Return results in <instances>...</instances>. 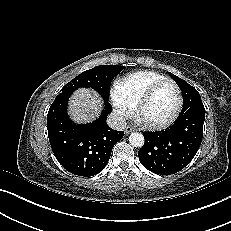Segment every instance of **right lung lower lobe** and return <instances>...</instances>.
I'll use <instances>...</instances> for the list:
<instances>
[{"label": "right lung lower lobe", "instance_id": "obj_1", "mask_svg": "<svg viewBox=\"0 0 231 231\" xmlns=\"http://www.w3.org/2000/svg\"><path fill=\"white\" fill-rule=\"evenodd\" d=\"M71 90H62L52 103L47 116V130L52 151L59 163L69 172L90 177L101 172L107 165L115 143L123 138L124 131L111 129L105 108L96 121L78 125L67 116V102Z\"/></svg>", "mask_w": 231, "mask_h": 231}]
</instances>
